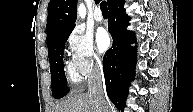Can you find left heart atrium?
Returning <instances> with one entry per match:
<instances>
[{
    "label": "left heart atrium",
    "instance_id": "1",
    "mask_svg": "<svg viewBox=\"0 0 193 112\" xmlns=\"http://www.w3.org/2000/svg\"><path fill=\"white\" fill-rule=\"evenodd\" d=\"M110 36L106 30L100 29L96 34V44L99 52H105L110 46Z\"/></svg>",
    "mask_w": 193,
    "mask_h": 112
}]
</instances>
